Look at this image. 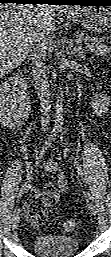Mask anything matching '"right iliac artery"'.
Masks as SVG:
<instances>
[{"instance_id": "1", "label": "right iliac artery", "mask_w": 111, "mask_h": 257, "mask_svg": "<svg viewBox=\"0 0 111 257\" xmlns=\"http://www.w3.org/2000/svg\"><path fill=\"white\" fill-rule=\"evenodd\" d=\"M57 133H58V130L54 128L52 130L51 134L49 135L48 139L46 140L44 146L42 147V150H41L39 156L36 159V164H38L40 162V159L43 157V155L45 154L46 150L51 146V143L55 139V137L57 136ZM20 200H21V195H19V197L17 199L16 209H18V207L20 205Z\"/></svg>"}]
</instances>
